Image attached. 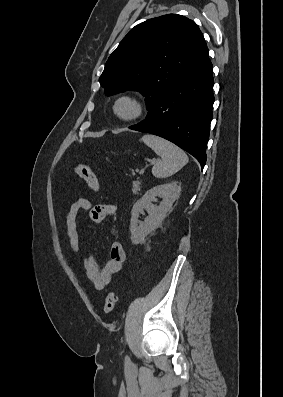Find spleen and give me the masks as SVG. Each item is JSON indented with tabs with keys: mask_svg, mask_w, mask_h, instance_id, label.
Here are the masks:
<instances>
[{
	"mask_svg": "<svg viewBox=\"0 0 283 397\" xmlns=\"http://www.w3.org/2000/svg\"><path fill=\"white\" fill-rule=\"evenodd\" d=\"M141 141L161 157V160L152 168V174L156 178L170 177L188 163L186 153L168 140L146 134L141 138Z\"/></svg>",
	"mask_w": 283,
	"mask_h": 397,
	"instance_id": "3e777b00",
	"label": "spleen"
}]
</instances>
